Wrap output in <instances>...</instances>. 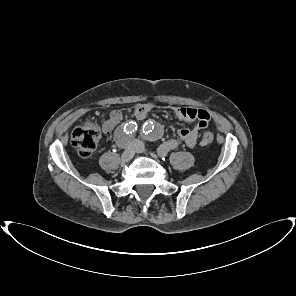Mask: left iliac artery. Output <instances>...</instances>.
<instances>
[{
	"label": "left iliac artery",
	"instance_id": "obj_1",
	"mask_svg": "<svg viewBox=\"0 0 296 296\" xmlns=\"http://www.w3.org/2000/svg\"><path fill=\"white\" fill-rule=\"evenodd\" d=\"M148 123H145L144 126H143V129H142V132H141V135L142 136H148V133H150L152 130H149L150 129V126L147 125Z\"/></svg>",
	"mask_w": 296,
	"mask_h": 296
}]
</instances>
